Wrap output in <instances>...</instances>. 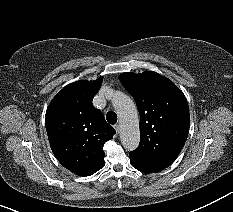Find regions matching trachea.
Masks as SVG:
<instances>
[{
	"label": "trachea",
	"mask_w": 233,
	"mask_h": 212,
	"mask_svg": "<svg viewBox=\"0 0 233 212\" xmlns=\"http://www.w3.org/2000/svg\"><path fill=\"white\" fill-rule=\"evenodd\" d=\"M108 123L115 124L117 122V115L114 112H108L106 115Z\"/></svg>",
	"instance_id": "3493384b"
}]
</instances>
